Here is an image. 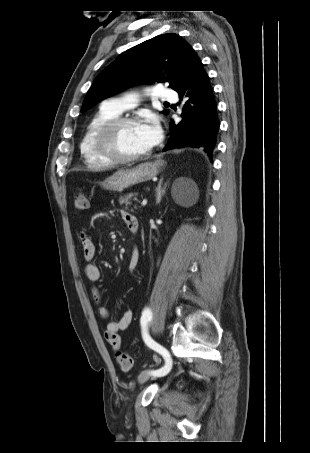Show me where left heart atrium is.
I'll return each instance as SVG.
<instances>
[{
    "label": "left heart atrium",
    "instance_id": "obj_1",
    "mask_svg": "<svg viewBox=\"0 0 310 453\" xmlns=\"http://www.w3.org/2000/svg\"><path fill=\"white\" fill-rule=\"evenodd\" d=\"M141 135L148 148H152L161 140V128L155 118H149L140 124Z\"/></svg>",
    "mask_w": 310,
    "mask_h": 453
}]
</instances>
